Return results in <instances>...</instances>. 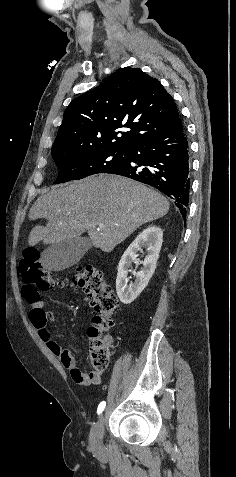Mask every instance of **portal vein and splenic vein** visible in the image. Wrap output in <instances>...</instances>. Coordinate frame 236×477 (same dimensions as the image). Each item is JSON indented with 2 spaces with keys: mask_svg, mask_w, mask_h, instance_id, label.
I'll return each mask as SVG.
<instances>
[{
  "mask_svg": "<svg viewBox=\"0 0 236 477\" xmlns=\"http://www.w3.org/2000/svg\"><path fill=\"white\" fill-rule=\"evenodd\" d=\"M98 227H99V228L103 227V224H99Z\"/></svg>",
  "mask_w": 236,
  "mask_h": 477,
  "instance_id": "1",
  "label": "portal vein and splenic vein"
}]
</instances>
